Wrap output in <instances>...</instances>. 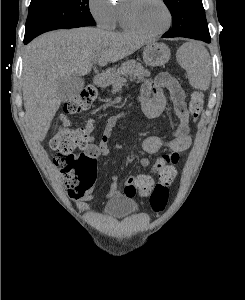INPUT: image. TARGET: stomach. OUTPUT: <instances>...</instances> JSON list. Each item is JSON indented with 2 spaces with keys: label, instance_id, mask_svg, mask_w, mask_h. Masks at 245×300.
<instances>
[{
  "label": "stomach",
  "instance_id": "1",
  "mask_svg": "<svg viewBox=\"0 0 245 300\" xmlns=\"http://www.w3.org/2000/svg\"><path fill=\"white\" fill-rule=\"evenodd\" d=\"M170 55V49L164 43H151L143 51V60L151 67H157L166 64Z\"/></svg>",
  "mask_w": 245,
  "mask_h": 300
}]
</instances>
